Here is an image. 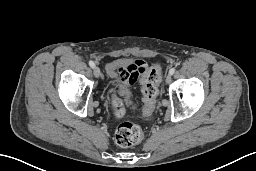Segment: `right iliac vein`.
Returning <instances> with one entry per match:
<instances>
[{
  "label": "right iliac vein",
  "instance_id": "right-iliac-vein-1",
  "mask_svg": "<svg viewBox=\"0 0 256 171\" xmlns=\"http://www.w3.org/2000/svg\"><path fill=\"white\" fill-rule=\"evenodd\" d=\"M93 73H94V76H95L96 78H99L100 75H101V71H100V69H99L98 67H95V68H94Z\"/></svg>",
  "mask_w": 256,
  "mask_h": 171
}]
</instances>
